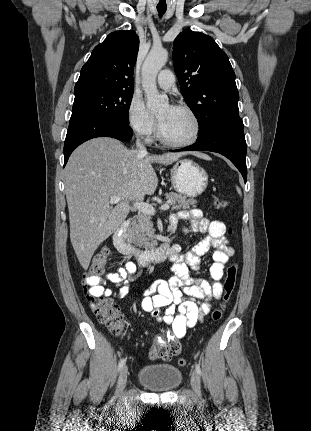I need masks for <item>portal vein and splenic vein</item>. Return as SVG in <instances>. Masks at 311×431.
Here are the masks:
<instances>
[{"label":"portal vein and splenic vein","mask_w":311,"mask_h":431,"mask_svg":"<svg viewBox=\"0 0 311 431\" xmlns=\"http://www.w3.org/2000/svg\"><path fill=\"white\" fill-rule=\"evenodd\" d=\"M122 198H119V196H113V198H110V204H118V202H121ZM171 204H163V206H160L159 210H170ZM133 208H137L139 212H142V214H149V216H155V208L153 206H150V204H145V202H135L133 204Z\"/></svg>","instance_id":"obj_1"}]
</instances>
